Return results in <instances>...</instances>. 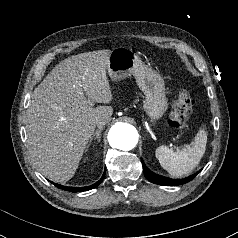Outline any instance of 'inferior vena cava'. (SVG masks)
Segmentation results:
<instances>
[{"label":"inferior vena cava","instance_id":"obj_1","mask_svg":"<svg viewBox=\"0 0 238 238\" xmlns=\"http://www.w3.org/2000/svg\"><path fill=\"white\" fill-rule=\"evenodd\" d=\"M107 122H108V120H106V119L100 120V121H98V123H97V127H98V128L104 127Z\"/></svg>","mask_w":238,"mask_h":238}]
</instances>
